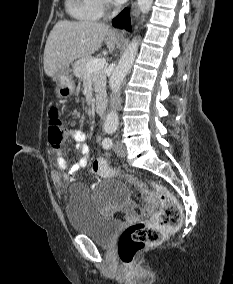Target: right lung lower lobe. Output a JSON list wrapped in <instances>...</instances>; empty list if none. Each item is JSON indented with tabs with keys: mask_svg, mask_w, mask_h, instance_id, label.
Segmentation results:
<instances>
[{
	"mask_svg": "<svg viewBox=\"0 0 233 284\" xmlns=\"http://www.w3.org/2000/svg\"><path fill=\"white\" fill-rule=\"evenodd\" d=\"M112 23L117 28H126L131 31L130 18L127 13V9H124L118 16H116Z\"/></svg>",
	"mask_w": 233,
	"mask_h": 284,
	"instance_id": "98d812e1",
	"label": "right lung lower lobe"
}]
</instances>
